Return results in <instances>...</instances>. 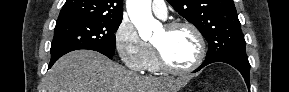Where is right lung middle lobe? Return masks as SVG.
Instances as JSON below:
<instances>
[{"mask_svg":"<svg viewBox=\"0 0 289 92\" xmlns=\"http://www.w3.org/2000/svg\"><path fill=\"white\" fill-rule=\"evenodd\" d=\"M121 20L68 18L57 20L51 45V60L78 49L114 55L115 35Z\"/></svg>","mask_w":289,"mask_h":92,"instance_id":"dd1d6c3e","label":"right lung middle lobe"}]
</instances>
